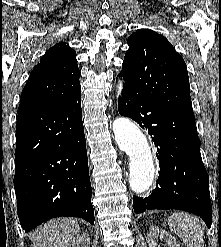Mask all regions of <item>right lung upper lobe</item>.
Returning <instances> with one entry per match:
<instances>
[{"mask_svg":"<svg viewBox=\"0 0 221 247\" xmlns=\"http://www.w3.org/2000/svg\"><path fill=\"white\" fill-rule=\"evenodd\" d=\"M76 52L65 42L51 47L40 59L22 91L18 113L66 100L80 91Z\"/></svg>","mask_w":221,"mask_h":247,"instance_id":"1","label":"right lung upper lobe"}]
</instances>
